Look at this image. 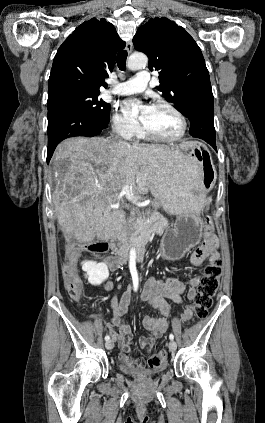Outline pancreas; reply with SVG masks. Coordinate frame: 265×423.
I'll list each match as a JSON object with an SVG mask.
<instances>
[{
    "mask_svg": "<svg viewBox=\"0 0 265 423\" xmlns=\"http://www.w3.org/2000/svg\"><path fill=\"white\" fill-rule=\"evenodd\" d=\"M153 206L159 208L160 204L155 202ZM168 225V220L159 212L154 211L150 217L146 218L143 216L137 222L130 225L128 234L132 235L136 241L145 243L151 238L153 233H163Z\"/></svg>",
    "mask_w": 265,
    "mask_h": 423,
    "instance_id": "obj_1",
    "label": "pancreas"
}]
</instances>
